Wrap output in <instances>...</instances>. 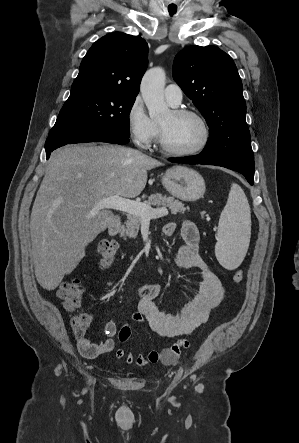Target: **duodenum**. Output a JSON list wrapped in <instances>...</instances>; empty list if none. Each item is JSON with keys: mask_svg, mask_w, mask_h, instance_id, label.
I'll list each match as a JSON object with an SVG mask.
<instances>
[{"mask_svg": "<svg viewBox=\"0 0 299 443\" xmlns=\"http://www.w3.org/2000/svg\"><path fill=\"white\" fill-rule=\"evenodd\" d=\"M121 224H122V221H121L120 217H114L108 225L109 234L116 235L120 231Z\"/></svg>", "mask_w": 299, "mask_h": 443, "instance_id": "obj_1", "label": "duodenum"}]
</instances>
